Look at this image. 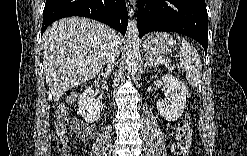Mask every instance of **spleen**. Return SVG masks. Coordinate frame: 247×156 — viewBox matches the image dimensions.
<instances>
[{
  "label": "spleen",
  "instance_id": "obj_1",
  "mask_svg": "<svg viewBox=\"0 0 247 156\" xmlns=\"http://www.w3.org/2000/svg\"><path fill=\"white\" fill-rule=\"evenodd\" d=\"M180 42V62L178 68L185 71L188 83L195 87L201 82L202 63L197 50L183 37L176 36Z\"/></svg>",
  "mask_w": 247,
  "mask_h": 156
}]
</instances>
